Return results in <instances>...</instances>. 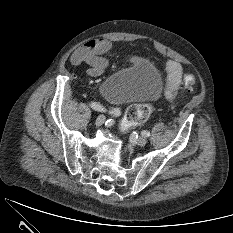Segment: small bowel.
<instances>
[{
    "instance_id": "obj_1",
    "label": "small bowel",
    "mask_w": 233,
    "mask_h": 233,
    "mask_svg": "<svg viewBox=\"0 0 233 233\" xmlns=\"http://www.w3.org/2000/svg\"><path fill=\"white\" fill-rule=\"evenodd\" d=\"M111 48V43L106 39H97L87 42L79 47L72 54L70 61L73 65L86 63L88 75L92 77L100 76L106 69L108 62L103 56ZM167 83L165 86V96L174 99L182 83L183 70L180 63L175 60L166 62Z\"/></svg>"
}]
</instances>
